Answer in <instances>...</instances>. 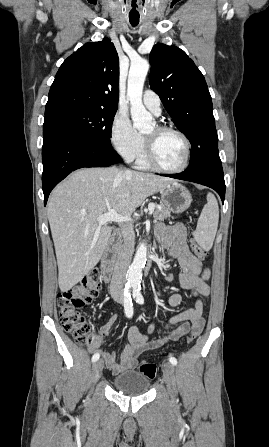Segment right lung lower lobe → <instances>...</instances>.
Wrapping results in <instances>:
<instances>
[{
	"instance_id": "right-lung-lower-lobe-1",
	"label": "right lung lower lobe",
	"mask_w": 269,
	"mask_h": 447,
	"mask_svg": "<svg viewBox=\"0 0 269 447\" xmlns=\"http://www.w3.org/2000/svg\"><path fill=\"white\" fill-rule=\"evenodd\" d=\"M43 139L44 205L51 190L72 171L107 167L121 161L112 147L81 135L64 123L45 120Z\"/></svg>"
}]
</instances>
